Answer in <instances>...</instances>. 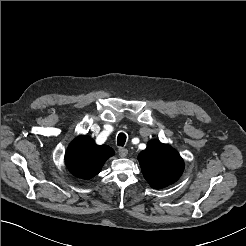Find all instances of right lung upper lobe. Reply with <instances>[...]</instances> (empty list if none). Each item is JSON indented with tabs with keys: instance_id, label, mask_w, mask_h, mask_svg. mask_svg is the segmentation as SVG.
<instances>
[{
	"instance_id": "cb5924a9",
	"label": "right lung upper lobe",
	"mask_w": 246,
	"mask_h": 246,
	"mask_svg": "<svg viewBox=\"0 0 246 246\" xmlns=\"http://www.w3.org/2000/svg\"><path fill=\"white\" fill-rule=\"evenodd\" d=\"M113 154L114 150L109 146H99L88 136H78L67 148L65 164L76 177L89 179L100 172Z\"/></svg>"
}]
</instances>
